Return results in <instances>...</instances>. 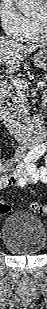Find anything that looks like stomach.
<instances>
[{"instance_id":"1","label":"stomach","mask_w":47,"mask_h":309,"mask_svg":"<svg viewBox=\"0 0 47 309\" xmlns=\"http://www.w3.org/2000/svg\"><path fill=\"white\" fill-rule=\"evenodd\" d=\"M34 64L37 67H40V68L47 70V47L40 49L34 55Z\"/></svg>"}]
</instances>
